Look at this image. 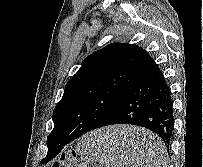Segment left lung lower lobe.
<instances>
[{
  "label": "left lung lower lobe",
  "mask_w": 203,
  "mask_h": 167,
  "mask_svg": "<svg viewBox=\"0 0 203 167\" xmlns=\"http://www.w3.org/2000/svg\"><path fill=\"white\" fill-rule=\"evenodd\" d=\"M114 124L145 127L158 134L169 148L174 125L173 101L170 88L152 58L140 69L113 112L98 128ZM69 142L62 139L54 142L48 149L47 162Z\"/></svg>",
  "instance_id": "obj_1"
}]
</instances>
